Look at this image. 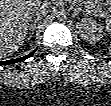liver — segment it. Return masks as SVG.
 <instances>
[{
  "label": "liver",
  "mask_w": 111,
  "mask_h": 106,
  "mask_svg": "<svg viewBox=\"0 0 111 106\" xmlns=\"http://www.w3.org/2000/svg\"><path fill=\"white\" fill-rule=\"evenodd\" d=\"M39 0L0 1V55L9 56L19 49L28 34L30 11Z\"/></svg>",
  "instance_id": "liver-1"
}]
</instances>
